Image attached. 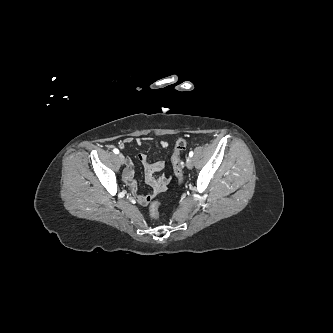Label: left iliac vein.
<instances>
[{
    "label": "left iliac vein",
    "mask_w": 333,
    "mask_h": 333,
    "mask_svg": "<svg viewBox=\"0 0 333 333\" xmlns=\"http://www.w3.org/2000/svg\"><path fill=\"white\" fill-rule=\"evenodd\" d=\"M186 166H187V168H189V169H192V168H193V160H192L191 157H188V158L186 159Z\"/></svg>",
    "instance_id": "4c4485c4"
}]
</instances>
